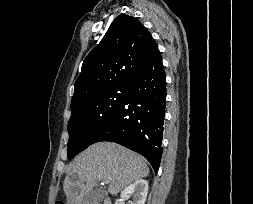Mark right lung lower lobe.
Instances as JSON below:
<instances>
[{"label":"right lung lower lobe","instance_id":"1","mask_svg":"<svg viewBox=\"0 0 253 204\" xmlns=\"http://www.w3.org/2000/svg\"><path fill=\"white\" fill-rule=\"evenodd\" d=\"M166 81L160 51L129 83L126 97L94 143L112 141L143 155L158 172L162 157Z\"/></svg>","mask_w":253,"mask_h":204}]
</instances>
